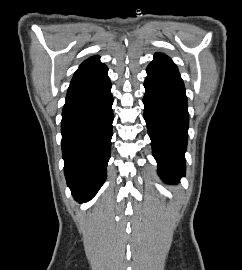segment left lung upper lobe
<instances>
[{
	"instance_id": "5c2ea615",
	"label": "left lung upper lobe",
	"mask_w": 242,
	"mask_h": 270,
	"mask_svg": "<svg viewBox=\"0 0 242 270\" xmlns=\"http://www.w3.org/2000/svg\"><path fill=\"white\" fill-rule=\"evenodd\" d=\"M156 55H164V54H161V53H157Z\"/></svg>"
}]
</instances>
